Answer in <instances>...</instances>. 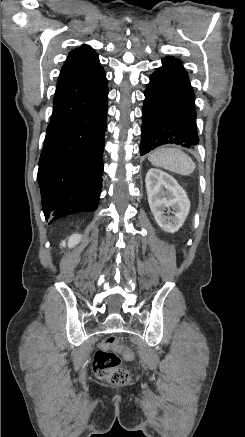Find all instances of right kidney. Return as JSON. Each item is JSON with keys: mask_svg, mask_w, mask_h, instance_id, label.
Instances as JSON below:
<instances>
[{"mask_svg": "<svg viewBox=\"0 0 245 437\" xmlns=\"http://www.w3.org/2000/svg\"><path fill=\"white\" fill-rule=\"evenodd\" d=\"M81 240V235L80 234H73L68 238V246L69 247H74L75 245H77ZM65 241H63L60 245L61 247L65 246Z\"/></svg>", "mask_w": 245, "mask_h": 437, "instance_id": "ca27d5eb", "label": "right kidney"}]
</instances>
